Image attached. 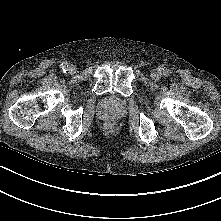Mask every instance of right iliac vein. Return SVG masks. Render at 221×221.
<instances>
[{"label":"right iliac vein","instance_id":"63e3f726","mask_svg":"<svg viewBox=\"0 0 221 221\" xmlns=\"http://www.w3.org/2000/svg\"><path fill=\"white\" fill-rule=\"evenodd\" d=\"M69 72H70L71 74L75 73V72H76V66H75V65H70V66H69Z\"/></svg>","mask_w":221,"mask_h":221}]
</instances>
